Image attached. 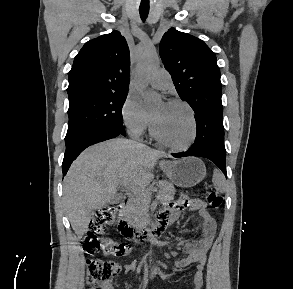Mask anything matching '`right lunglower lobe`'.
Segmentation results:
<instances>
[{
    "label": "right lung lower lobe",
    "instance_id": "1",
    "mask_svg": "<svg viewBox=\"0 0 293 289\" xmlns=\"http://www.w3.org/2000/svg\"><path fill=\"white\" fill-rule=\"evenodd\" d=\"M119 135L126 136L123 125H108L91 129L66 141V151L62 163L63 176L73 160L87 147Z\"/></svg>",
    "mask_w": 293,
    "mask_h": 289
}]
</instances>
